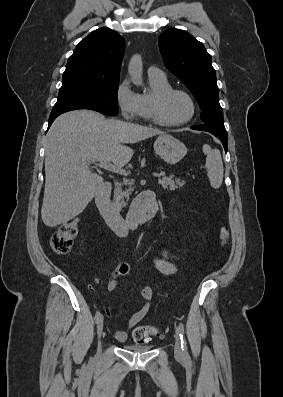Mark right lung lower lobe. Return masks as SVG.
I'll list each match as a JSON object with an SVG mask.
<instances>
[{
  "label": "right lung lower lobe",
  "instance_id": "98d812e1",
  "mask_svg": "<svg viewBox=\"0 0 283 397\" xmlns=\"http://www.w3.org/2000/svg\"><path fill=\"white\" fill-rule=\"evenodd\" d=\"M77 109H90V110H95L98 111L102 114H104L103 112L94 109V108H90V107H83V106H60V107H53L50 117H49V125L48 128L51 126L52 122L62 113H65L67 111H71V110H77ZM106 115V114H105Z\"/></svg>",
  "mask_w": 283,
  "mask_h": 397
}]
</instances>
